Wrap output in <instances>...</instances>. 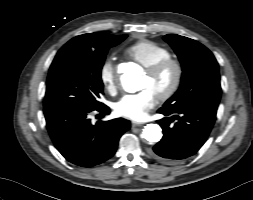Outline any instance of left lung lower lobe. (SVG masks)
<instances>
[{"label": "left lung lower lobe", "instance_id": "obj_1", "mask_svg": "<svg viewBox=\"0 0 253 200\" xmlns=\"http://www.w3.org/2000/svg\"><path fill=\"white\" fill-rule=\"evenodd\" d=\"M217 107L202 105L177 111L162 107L165 117L157 122L163 129L162 139L149 151L163 164H176L194 155L205 143L216 119ZM174 119L177 121L172 124Z\"/></svg>", "mask_w": 253, "mask_h": 200}]
</instances>
